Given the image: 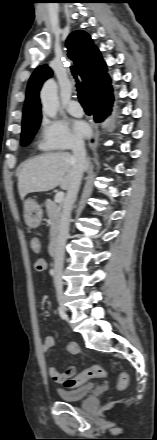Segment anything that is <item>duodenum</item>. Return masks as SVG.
<instances>
[{"instance_id":"410a0bca","label":"duodenum","mask_w":157,"mask_h":440,"mask_svg":"<svg viewBox=\"0 0 157 440\" xmlns=\"http://www.w3.org/2000/svg\"><path fill=\"white\" fill-rule=\"evenodd\" d=\"M49 254L52 258H55L57 256V242L56 239H53L50 241L49 244Z\"/></svg>"}]
</instances>
